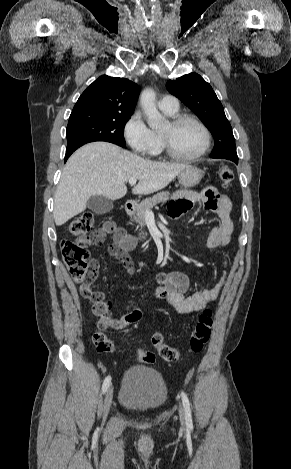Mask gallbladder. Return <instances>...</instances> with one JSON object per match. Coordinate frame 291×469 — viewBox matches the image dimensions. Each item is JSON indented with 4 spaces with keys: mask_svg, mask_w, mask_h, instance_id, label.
<instances>
[{
    "mask_svg": "<svg viewBox=\"0 0 291 469\" xmlns=\"http://www.w3.org/2000/svg\"><path fill=\"white\" fill-rule=\"evenodd\" d=\"M87 208L97 214H105L112 210L113 202L105 196L94 195L88 199Z\"/></svg>",
    "mask_w": 291,
    "mask_h": 469,
    "instance_id": "1",
    "label": "gallbladder"
}]
</instances>
